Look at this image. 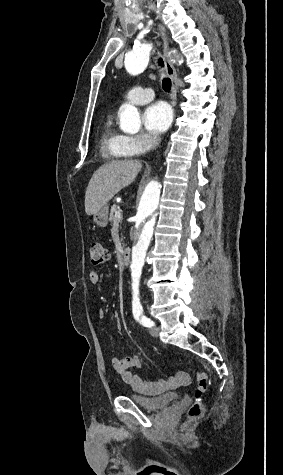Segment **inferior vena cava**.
I'll return each mask as SVG.
<instances>
[{"instance_id":"1","label":"inferior vena cava","mask_w":283,"mask_h":475,"mask_svg":"<svg viewBox=\"0 0 283 475\" xmlns=\"http://www.w3.org/2000/svg\"><path fill=\"white\" fill-rule=\"evenodd\" d=\"M149 140L152 144V148H156V146H159L161 142V138L159 134H156V132H151V134H149Z\"/></svg>"}]
</instances>
